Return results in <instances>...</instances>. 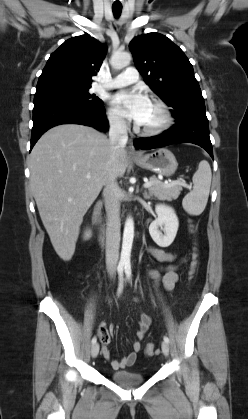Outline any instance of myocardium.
<instances>
[{
  "mask_svg": "<svg viewBox=\"0 0 248 419\" xmlns=\"http://www.w3.org/2000/svg\"><path fill=\"white\" fill-rule=\"evenodd\" d=\"M151 103L155 105L161 115L162 119L159 124L152 126V127H142L138 125L136 127L137 131L146 136H155L165 132L173 123V116L170 108L168 105L160 99L154 98L151 100Z\"/></svg>",
  "mask_w": 248,
  "mask_h": 419,
  "instance_id": "myocardium-1",
  "label": "myocardium"
}]
</instances>
